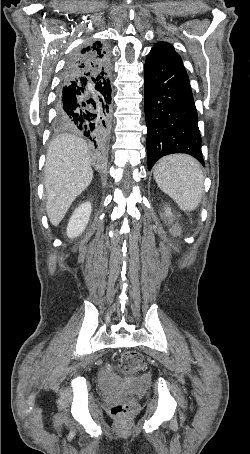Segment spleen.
Segmentation results:
<instances>
[{"label": "spleen", "instance_id": "1", "mask_svg": "<svg viewBox=\"0 0 250 454\" xmlns=\"http://www.w3.org/2000/svg\"><path fill=\"white\" fill-rule=\"evenodd\" d=\"M158 187L184 211L195 210L202 198L203 173L198 161L188 155H170L154 168Z\"/></svg>", "mask_w": 250, "mask_h": 454}]
</instances>
